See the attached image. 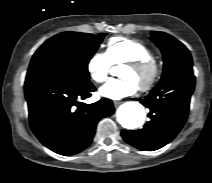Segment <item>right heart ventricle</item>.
Wrapping results in <instances>:
<instances>
[{"label":"right heart ventricle","instance_id":"right-heart-ventricle-1","mask_svg":"<svg viewBox=\"0 0 212 183\" xmlns=\"http://www.w3.org/2000/svg\"><path fill=\"white\" fill-rule=\"evenodd\" d=\"M106 54L113 65L125 64L142 58H154L152 50L146 44L125 37L111 38L107 42Z\"/></svg>","mask_w":212,"mask_h":183}]
</instances>
